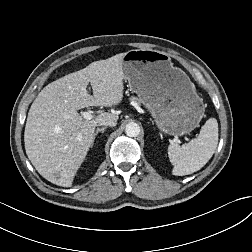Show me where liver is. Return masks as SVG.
I'll return each instance as SVG.
<instances>
[{"label": "liver", "instance_id": "liver-1", "mask_svg": "<svg viewBox=\"0 0 252 252\" xmlns=\"http://www.w3.org/2000/svg\"><path fill=\"white\" fill-rule=\"evenodd\" d=\"M122 58L123 53L117 54L59 78L44 87L32 103L24 132L25 150L32 165L49 182L71 187L93 144L95 127L102 121L118 120L117 115L107 112L87 120L77 111L121 103ZM89 83L93 95L87 90Z\"/></svg>", "mask_w": 252, "mask_h": 252}]
</instances>
